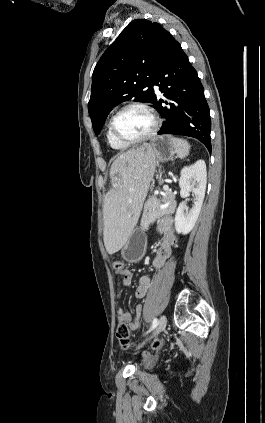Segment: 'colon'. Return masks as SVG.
Returning a JSON list of instances; mask_svg holds the SVG:
<instances>
[{
  "mask_svg": "<svg viewBox=\"0 0 265 423\" xmlns=\"http://www.w3.org/2000/svg\"><path fill=\"white\" fill-rule=\"evenodd\" d=\"M124 263L122 260L117 259L113 262V268L116 271H122L124 269ZM116 337L122 348L128 349L130 347V331L124 322L120 323L116 328ZM162 342L160 339H155L150 346L148 351L143 352L144 357H149L151 351H157L160 349Z\"/></svg>",
  "mask_w": 265,
  "mask_h": 423,
  "instance_id": "colon-1",
  "label": "colon"
}]
</instances>
